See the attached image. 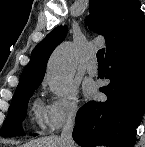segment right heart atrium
I'll return each instance as SVG.
<instances>
[{"label":"right heart atrium","mask_w":145,"mask_h":147,"mask_svg":"<svg viewBox=\"0 0 145 147\" xmlns=\"http://www.w3.org/2000/svg\"><path fill=\"white\" fill-rule=\"evenodd\" d=\"M79 111V98L76 88L52 97L43 109V122L50 131H56L72 123Z\"/></svg>","instance_id":"1"}]
</instances>
